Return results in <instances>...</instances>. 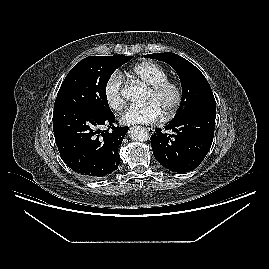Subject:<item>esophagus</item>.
Listing matches in <instances>:
<instances>
[{
	"mask_svg": "<svg viewBox=\"0 0 269 269\" xmlns=\"http://www.w3.org/2000/svg\"><path fill=\"white\" fill-rule=\"evenodd\" d=\"M146 130H147V132H148L149 134H153L154 131H155L154 128H152V127H147Z\"/></svg>",
	"mask_w": 269,
	"mask_h": 269,
	"instance_id": "esophagus-1",
	"label": "esophagus"
}]
</instances>
